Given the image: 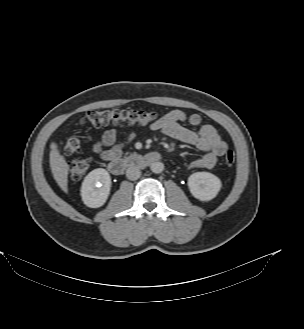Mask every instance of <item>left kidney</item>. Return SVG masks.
<instances>
[{
  "instance_id": "obj_1",
  "label": "left kidney",
  "mask_w": 304,
  "mask_h": 329,
  "mask_svg": "<svg viewBox=\"0 0 304 329\" xmlns=\"http://www.w3.org/2000/svg\"><path fill=\"white\" fill-rule=\"evenodd\" d=\"M221 186L220 179L209 172H196L188 178L191 194L200 201H210L215 198Z\"/></svg>"
}]
</instances>
